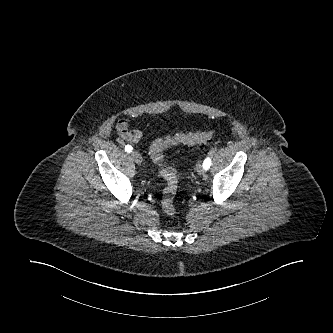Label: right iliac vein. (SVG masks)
Instances as JSON below:
<instances>
[{
	"mask_svg": "<svg viewBox=\"0 0 333 333\" xmlns=\"http://www.w3.org/2000/svg\"><path fill=\"white\" fill-rule=\"evenodd\" d=\"M131 156H132V158L134 159V161H135L137 164H141V162H142V156H141L138 152L133 151V152L131 153Z\"/></svg>",
	"mask_w": 333,
	"mask_h": 333,
	"instance_id": "1",
	"label": "right iliac vein"
}]
</instances>
